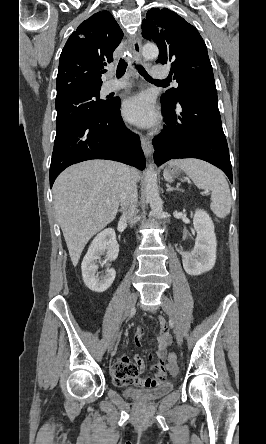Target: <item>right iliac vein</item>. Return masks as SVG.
Returning <instances> with one entry per match:
<instances>
[{
    "instance_id": "obj_1",
    "label": "right iliac vein",
    "mask_w": 266,
    "mask_h": 444,
    "mask_svg": "<svg viewBox=\"0 0 266 444\" xmlns=\"http://www.w3.org/2000/svg\"><path fill=\"white\" fill-rule=\"evenodd\" d=\"M137 298H138V295L135 292L131 293L130 296L128 297L127 304H126V310H125V314H124L125 319L130 315L131 311L133 310V308L136 304ZM119 330L120 329L117 328V330L115 331L114 335L112 336V338L108 344V348H107L108 353H110L113 350V347L119 337Z\"/></svg>"
}]
</instances>
